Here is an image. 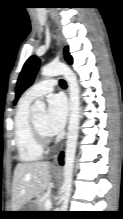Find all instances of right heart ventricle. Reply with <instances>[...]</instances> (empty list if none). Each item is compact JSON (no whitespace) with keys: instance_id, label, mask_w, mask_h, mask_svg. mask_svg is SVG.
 <instances>
[{"instance_id":"1","label":"right heart ventricle","mask_w":123,"mask_h":219,"mask_svg":"<svg viewBox=\"0 0 123 219\" xmlns=\"http://www.w3.org/2000/svg\"><path fill=\"white\" fill-rule=\"evenodd\" d=\"M30 103L21 99L14 120L15 144L19 159L23 162H35L42 158L43 147L38 143L30 115Z\"/></svg>"}]
</instances>
